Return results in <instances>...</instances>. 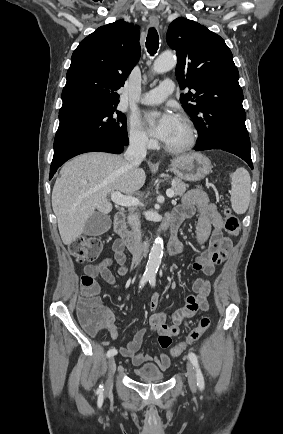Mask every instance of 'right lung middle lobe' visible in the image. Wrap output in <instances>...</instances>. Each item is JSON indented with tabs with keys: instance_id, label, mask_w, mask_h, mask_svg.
<instances>
[{
	"instance_id": "1",
	"label": "right lung middle lobe",
	"mask_w": 283,
	"mask_h": 434,
	"mask_svg": "<svg viewBox=\"0 0 283 434\" xmlns=\"http://www.w3.org/2000/svg\"><path fill=\"white\" fill-rule=\"evenodd\" d=\"M54 153L79 140L106 137L128 145L126 116L115 108L59 116Z\"/></svg>"
}]
</instances>
